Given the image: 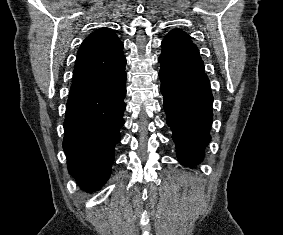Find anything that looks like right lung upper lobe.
<instances>
[{
	"instance_id": "cb5924a9",
	"label": "right lung upper lobe",
	"mask_w": 283,
	"mask_h": 235,
	"mask_svg": "<svg viewBox=\"0 0 283 235\" xmlns=\"http://www.w3.org/2000/svg\"><path fill=\"white\" fill-rule=\"evenodd\" d=\"M123 44L110 28L90 34L80 46L71 88L103 80L125 69Z\"/></svg>"
}]
</instances>
